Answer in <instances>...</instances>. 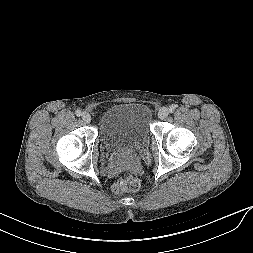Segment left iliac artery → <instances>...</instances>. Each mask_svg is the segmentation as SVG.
Wrapping results in <instances>:
<instances>
[{
  "instance_id": "1",
  "label": "left iliac artery",
  "mask_w": 253,
  "mask_h": 253,
  "mask_svg": "<svg viewBox=\"0 0 253 253\" xmlns=\"http://www.w3.org/2000/svg\"><path fill=\"white\" fill-rule=\"evenodd\" d=\"M168 110L170 113H173L175 111V106H173V105L170 106Z\"/></svg>"
}]
</instances>
